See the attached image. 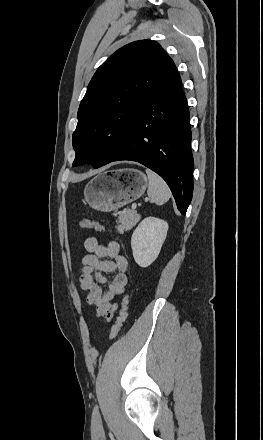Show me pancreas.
Instances as JSON below:
<instances>
[{
  "label": "pancreas",
  "instance_id": "cf45deb5",
  "mask_svg": "<svg viewBox=\"0 0 263 440\" xmlns=\"http://www.w3.org/2000/svg\"><path fill=\"white\" fill-rule=\"evenodd\" d=\"M140 215L134 210H127L120 214L116 226L117 232L123 234L125 231L131 230L139 221Z\"/></svg>",
  "mask_w": 263,
  "mask_h": 440
}]
</instances>
